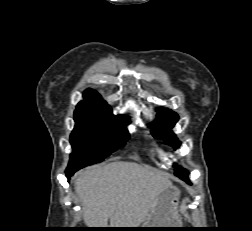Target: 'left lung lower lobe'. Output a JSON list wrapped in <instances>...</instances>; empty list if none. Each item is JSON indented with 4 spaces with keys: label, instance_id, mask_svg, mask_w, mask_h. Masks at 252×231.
I'll return each mask as SVG.
<instances>
[{
    "label": "left lung lower lobe",
    "instance_id": "1",
    "mask_svg": "<svg viewBox=\"0 0 252 231\" xmlns=\"http://www.w3.org/2000/svg\"><path fill=\"white\" fill-rule=\"evenodd\" d=\"M187 176H188V174H186V175H181V176H179V177H180L181 179H183L184 181H186V182L189 183V180H188Z\"/></svg>",
    "mask_w": 252,
    "mask_h": 231
}]
</instances>
